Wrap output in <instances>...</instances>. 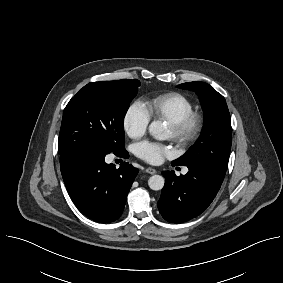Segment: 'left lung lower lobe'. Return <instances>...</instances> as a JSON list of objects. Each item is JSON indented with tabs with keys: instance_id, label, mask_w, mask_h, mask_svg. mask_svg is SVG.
Segmentation results:
<instances>
[{
	"instance_id": "left-lung-lower-lobe-1",
	"label": "left lung lower lobe",
	"mask_w": 283,
	"mask_h": 283,
	"mask_svg": "<svg viewBox=\"0 0 283 283\" xmlns=\"http://www.w3.org/2000/svg\"><path fill=\"white\" fill-rule=\"evenodd\" d=\"M187 167L189 171L186 175L176 176L173 171L162 172L165 185L158 201V209L169 222L183 223L204 212L223 182V178L207 170Z\"/></svg>"
}]
</instances>
